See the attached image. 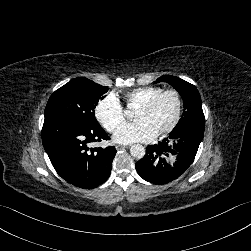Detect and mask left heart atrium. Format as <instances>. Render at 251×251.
Here are the masks:
<instances>
[{
    "label": "left heart atrium",
    "instance_id": "obj_1",
    "mask_svg": "<svg viewBox=\"0 0 251 251\" xmlns=\"http://www.w3.org/2000/svg\"><path fill=\"white\" fill-rule=\"evenodd\" d=\"M158 129L149 119L124 123L118 127L114 138L118 143L150 142L158 136Z\"/></svg>",
    "mask_w": 251,
    "mask_h": 251
}]
</instances>
